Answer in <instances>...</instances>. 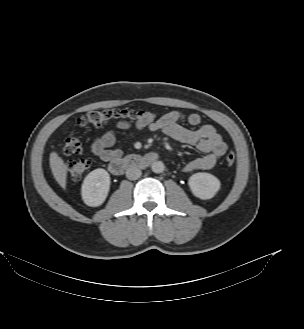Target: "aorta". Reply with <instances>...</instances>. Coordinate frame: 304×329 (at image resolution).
I'll return each instance as SVG.
<instances>
[{
    "mask_svg": "<svg viewBox=\"0 0 304 329\" xmlns=\"http://www.w3.org/2000/svg\"><path fill=\"white\" fill-rule=\"evenodd\" d=\"M165 169V165L161 161H155L151 164V170L154 173H162Z\"/></svg>",
    "mask_w": 304,
    "mask_h": 329,
    "instance_id": "aorta-1",
    "label": "aorta"
}]
</instances>
